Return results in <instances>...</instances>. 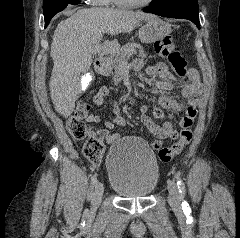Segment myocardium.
<instances>
[{"instance_id": "obj_1", "label": "myocardium", "mask_w": 240, "mask_h": 238, "mask_svg": "<svg viewBox=\"0 0 240 238\" xmlns=\"http://www.w3.org/2000/svg\"><path fill=\"white\" fill-rule=\"evenodd\" d=\"M116 5L123 8H141L152 3L153 0H145L144 2H128L125 0H112Z\"/></svg>"}]
</instances>
